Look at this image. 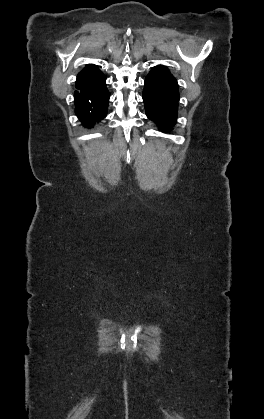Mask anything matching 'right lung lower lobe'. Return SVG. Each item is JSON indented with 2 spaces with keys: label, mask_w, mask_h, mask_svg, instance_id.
I'll return each instance as SVG.
<instances>
[{
  "label": "right lung lower lobe",
  "mask_w": 264,
  "mask_h": 419,
  "mask_svg": "<svg viewBox=\"0 0 264 419\" xmlns=\"http://www.w3.org/2000/svg\"><path fill=\"white\" fill-rule=\"evenodd\" d=\"M106 77L101 74L88 82H76V115L84 126H93L107 115L110 94L106 88Z\"/></svg>",
  "instance_id": "1"
}]
</instances>
